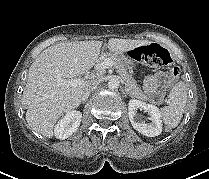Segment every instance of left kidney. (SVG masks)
Here are the masks:
<instances>
[{
	"label": "left kidney",
	"mask_w": 209,
	"mask_h": 179,
	"mask_svg": "<svg viewBox=\"0 0 209 179\" xmlns=\"http://www.w3.org/2000/svg\"><path fill=\"white\" fill-rule=\"evenodd\" d=\"M138 109L148 112L151 123L146 124L140 120L139 116H137ZM128 115L133 128L139 133L148 137H155L161 134L162 116L159 108L155 105L146 104L145 102L136 99H131L128 103Z\"/></svg>",
	"instance_id": "5707ae66"
}]
</instances>
